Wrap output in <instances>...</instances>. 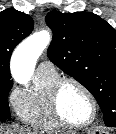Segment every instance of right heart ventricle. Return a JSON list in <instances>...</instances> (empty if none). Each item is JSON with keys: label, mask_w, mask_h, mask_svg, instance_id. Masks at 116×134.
Returning <instances> with one entry per match:
<instances>
[{"label": "right heart ventricle", "mask_w": 116, "mask_h": 134, "mask_svg": "<svg viewBox=\"0 0 116 134\" xmlns=\"http://www.w3.org/2000/svg\"><path fill=\"white\" fill-rule=\"evenodd\" d=\"M59 78L56 71L36 72L34 89L23 93L18 103L17 112L23 122L46 131L63 128L64 125L55 117L50 102L51 88Z\"/></svg>", "instance_id": "right-heart-ventricle-1"}]
</instances>
